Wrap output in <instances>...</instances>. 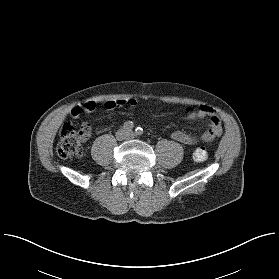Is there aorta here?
Wrapping results in <instances>:
<instances>
[{
  "instance_id": "obj_1",
  "label": "aorta",
  "mask_w": 279,
  "mask_h": 279,
  "mask_svg": "<svg viewBox=\"0 0 279 279\" xmlns=\"http://www.w3.org/2000/svg\"><path fill=\"white\" fill-rule=\"evenodd\" d=\"M136 134L141 135L142 134V129L141 128L136 129Z\"/></svg>"
}]
</instances>
